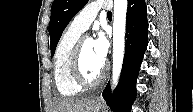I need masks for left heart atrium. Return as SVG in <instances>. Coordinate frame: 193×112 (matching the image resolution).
<instances>
[{
	"label": "left heart atrium",
	"mask_w": 193,
	"mask_h": 112,
	"mask_svg": "<svg viewBox=\"0 0 193 112\" xmlns=\"http://www.w3.org/2000/svg\"><path fill=\"white\" fill-rule=\"evenodd\" d=\"M93 46L95 53L99 60L103 63H105L106 56L108 53V42L103 34H99L94 40H93Z\"/></svg>",
	"instance_id": "39dd6f15"
}]
</instances>
